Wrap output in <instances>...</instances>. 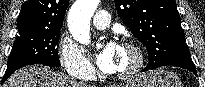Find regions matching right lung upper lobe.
Here are the masks:
<instances>
[{
    "mask_svg": "<svg viewBox=\"0 0 205 87\" xmlns=\"http://www.w3.org/2000/svg\"><path fill=\"white\" fill-rule=\"evenodd\" d=\"M69 0H27L17 20L18 31L61 29Z\"/></svg>",
    "mask_w": 205,
    "mask_h": 87,
    "instance_id": "obj_1",
    "label": "right lung upper lobe"
}]
</instances>
